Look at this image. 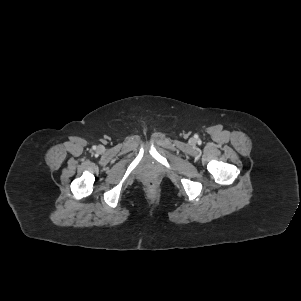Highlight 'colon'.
Masks as SVG:
<instances>
[{
  "label": "colon",
  "mask_w": 301,
  "mask_h": 301,
  "mask_svg": "<svg viewBox=\"0 0 301 301\" xmlns=\"http://www.w3.org/2000/svg\"><path fill=\"white\" fill-rule=\"evenodd\" d=\"M148 188L150 189V190H154L155 188H156V185H155V183L154 182H149L148 183Z\"/></svg>",
  "instance_id": "obj_1"
}]
</instances>
